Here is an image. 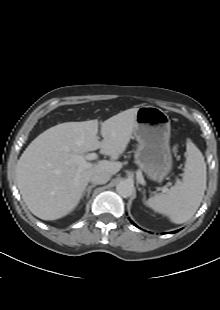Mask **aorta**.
Here are the masks:
<instances>
[{
  "instance_id": "aorta-1",
  "label": "aorta",
  "mask_w": 220,
  "mask_h": 310,
  "mask_svg": "<svg viewBox=\"0 0 220 310\" xmlns=\"http://www.w3.org/2000/svg\"><path fill=\"white\" fill-rule=\"evenodd\" d=\"M133 184L130 181L122 180L116 186L117 193L122 197H129L133 193Z\"/></svg>"
}]
</instances>
